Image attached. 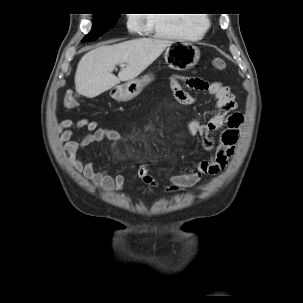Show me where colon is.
Here are the masks:
<instances>
[{
  "label": "colon",
  "instance_id": "5ec220e1",
  "mask_svg": "<svg viewBox=\"0 0 303 303\" xmlns=\"http://www.w3.org/2000/svg\"><path fill=\"white\" fill-rule=\"evenodd\" d=\"M212 65L215 69H218V70H223V69L226 68V62L222 58H214L212 60ZM66 104L71 109H78L79 108V103L73 98H68L66 100Z\"/></svg>",
  "mask_w": 303,
  "mask_h": 303
}]
</instances>
